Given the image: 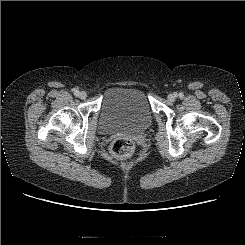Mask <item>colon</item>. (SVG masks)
Wrapping results in <instances>:
<instances>
[{
    "label": "colon",
    "instance_id": "5ec220e1",
    "mask_svg": "<svg viewBox=\"0 0 245 245\" xmlns=\"http://www.w3.org/2000/svg\"><path fill=\"white\" fill-rule=\"evenodd\" d=\"M134 149V142L131 139L125 137L117 138L111 144L112 154L119 158L131 155Z\"/></svg>",
    "mask_w": 245,
    "mask_h": 245
}]
</instances>
